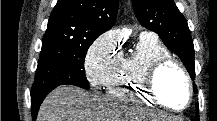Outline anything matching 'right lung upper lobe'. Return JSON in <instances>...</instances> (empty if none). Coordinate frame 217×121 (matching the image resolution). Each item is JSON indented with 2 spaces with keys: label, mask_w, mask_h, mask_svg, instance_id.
I'll use <instances>...</instances> for the list:
<instances>
[{
  "label": "right lung upper lobe",
  "mask_w": 217,
  "mask_h": 121,
  "mask_svg": "<svg viewBox=\"0 0 217 121\" xmlns=\"http://www.w3.org/2000/svg\"><path fill=\"white\" fill-rule=\"evenodd\" d=\"M118 0H58L45 35L96 39L113 26Z\"/></svg>",
  "instance_id": "cb5924a9"
}]
</instances>
